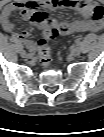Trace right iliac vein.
<instances>
[{
  "label": "right iliac vein",
  "mask_w": 104,
  "mask_h": 137,
  "mask_svg": "<svg viewBox=\"0 0 104 137\" xmlns=\"http://www.w3.org/2000/svg\"><path fill=\"white\" fill-rule=\"evenodd\" d=\"M20 54H21V56L24 57V58H31V57H32V54H28V53H26L25 51H21Z\"/></svg>",
  "instance_id": "1"
}]
</instances>
